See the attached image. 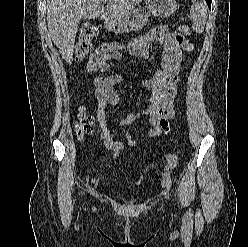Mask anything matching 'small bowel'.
<instances>
[{"instance_id": "small-bowel-1", "label": "small bowel", "mask_w": 248, "mask_h": 247, "mask_svg": "<svg viewBox=\"0 0 248 247\" xmlns=\"http://www.w3.org/2000/svg\"><path fill=\"white\" fill-rule=\"evenodd\" d=\"M154 42L162 47L161 68L140 81L144 87L150 90L145 109L131 113L119 120L120 126L128 128L139 118L147 117L152 125L148 138L168 132V119L173 118L175 114L174 100L177 85L180 81L182 53L193 49V45L178 33H167L160 38H154L152 34L140 37L128 43L126 49L130 55L148 59L150 46ZM121 58L122 54L118 50L108 54L99 65L100 74L93 79L95 95L98 100V120L101 137L105 148L114 151V158L117 157L119 150L124 149V144L122 141L113 138L108 125L109 115L106 109L108 105L117 106L120 104L118 86L123 81V77L119 74L103 77L102 74L109 70L110 61H119ZM127 137L130 140V145L134 146L128 130ZM175 165L176 158L169 156L167 168L171 169Z\"/></svg>"}]
</instances>
